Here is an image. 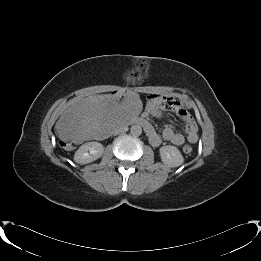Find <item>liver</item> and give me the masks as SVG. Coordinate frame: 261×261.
I'll return each mask as SVG.
<instances>
[{
	"label": "liver",
	"instance_id": "liver-1",
	"mask_svg": "<svg viewBox=\"0 0 261 261\" xmlns=\"http://www.w3.org/2000/svg\"><path fill=\"white\" fill-rule=\"evenodd\" d=\"M137 94L93 95L68 108L55 125L60 139L80 143L100 134H115L140 112Z\"/></svg>",
	"mask_w": 261,
	"mask_h": 261
}]
</instances>
